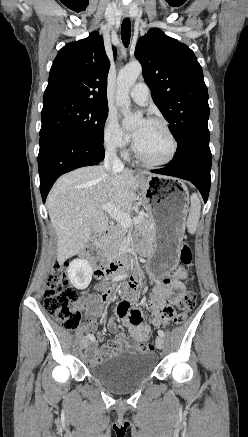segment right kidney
<instances>
[{"label": "right kidney", "mask_w": 248, "mask_h": 437, "mask_svg": "<svg viewBox=\"0 0 248 437\" xmlns=\"http://www.w3.org/2000/svg\"><path fill=\"white\" fill-rule=\"evenodd\" d=\"M68 278L73 286L79 290L88 287L92 279V268L85 259H74L67 269Z\"/></svg>", "instance_id": "1"}]
</instances>
